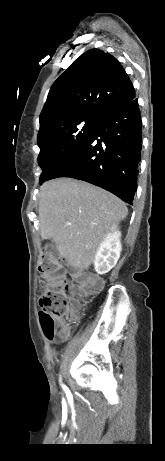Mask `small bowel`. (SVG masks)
Segmentation results:
<instances>
[{
  "label": "small bowel",
  "instance_id": "small-bowel-1",
  "mask_svg": "<svg viewBox=\"0 0 165 461\" xmlns=\"http://www.w3.org/2000/svg\"><path fill=\"white\" fill-rule=\"evenodd\" d=\"M73 267L76 268L77 266L74 265ZM81 279H82L83 281H86V280L88 279V276H87L86 274H83V275L81 276ZM89 279L98 282L99 285H100L99 288H101V287L103 286V284H104V281H103L101 278L97 277L96 275H90V276H89ZM74 289H75L74 284L70 283V291L73 292ZM65 298H66L67 300H70V299L72 298V295H71L70 293H67V294L65 295ZM72 318H73L72 313H63L62 318H61V321H62L63 324H70L71 321H72ZM69 334H70V331H69L68 329H66V330H65V336H64L62 339H60V340H65V339L69 336Z\"/></svg>",
  "mask_w": 165,
  "mask_h": 461
}]
</instances>
